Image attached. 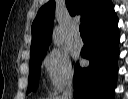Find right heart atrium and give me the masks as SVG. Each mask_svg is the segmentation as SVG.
Listing matches in <instances>:
<instances>
[{"mask_svg":"<svg viewBox=\"0 0 128 99\" xmlns=\"http://www.w3.org/2000/svg\"><path fill=\"white\" fill-rule=\"evenodd\" d=\"M44 66L55 91L69 86L74 77L69 56L59 49L51 50L44 58Z\"/></svg>","mask_w":128,"mask_h":99,"instance_id":"1","label":"right heart atrium"}]
</instances>
